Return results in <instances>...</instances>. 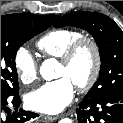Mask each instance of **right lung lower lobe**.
<instances>
[{
  "mask_svg": "<svg viewBox=\"0 0 123 123\" xmlns=\"http://www.w3.org/2000/svg\"><path fill=\"white\" fill-rule=\"evenodd\" d=\"M10 103H12L15 110H17L20 105L19 95L17 94L11 97H1V123H24L31 118L38 116L36 113L24 111L22 109L11 113L7 107ZM4 112L7 113V115H5Z\"/></svg>",
  "mask_w": 123,
  "mask_h": 123,
  "instance_id": "obj_1",
  "label": "right lung lower lobe"
}]
</instances>
